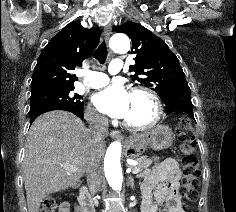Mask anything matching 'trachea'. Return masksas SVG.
<instances>
[{"label": "trachea", "instance_id": "1", "mask_svg": "<svg viewBox=\"0 0 236 212\" xmlns=\"http://www.w3.org/2000/svg\"><path fill=\"white\" fill-rule=\"evenodd\" d=\"M94 57L100 64L105 63V61L107 59V46L104 41L94 51Z\"/></svg>", "mask_w": 236, "mask_h": 212}]
</instances>
